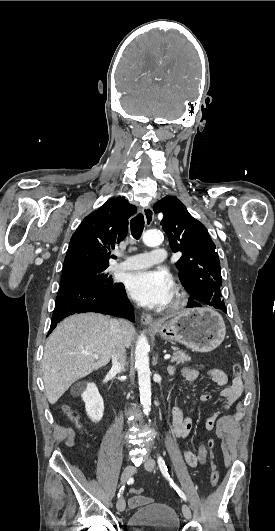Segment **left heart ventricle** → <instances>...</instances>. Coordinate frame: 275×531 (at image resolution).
<instances>
[{
	"label": "left heart ventricle",
	"mask_w": 275,
	"mask_h": 531,
	"mask_svg": "<svg viewBox=\"0 0 275 531\" xmlns=\"http://www.w3.org/2000/svg\"><path fill=\"white\" fill-rule=\"evenodd\" d=\"M171 297H172V292H171V296H170V299H171ZM170 299H169V300H170Z\"/></svg>",
	"instance_id": "obj_1"
}]
</instances>
